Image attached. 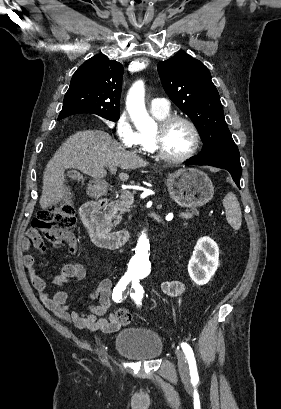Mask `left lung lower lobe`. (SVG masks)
<instances>
[{"instance_id":"0a47b994","label":"left lung lower lobe","mask_w":281,"mask_h":409,"mask_svg":"<svg viewBox=\"0 0 281 409\" xmlns=\"http://www.w3.org/2000/svg\"><path fill=\"white\" fill-rule=\"evenodd\" d=\"M210 165L222 169H226L232 175L233 180L240 188V177L242 174V168L240 164L239 156H207L196 157L187 161L186 165Z\"/></svg>"}]
</instances>
